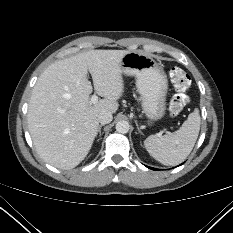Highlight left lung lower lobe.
I'll return each mask as SVG.
<instances>
[{
	"mask_svg": "<svg viewBox=\"0 0 233 233\" xmlns=\"http://www.w3.org/2000/svg\"><path fill=\"white\" fill-rule=\"evenodd\" d=\"M148 168L155 170V169H154V168H152V167H148Z\"/></svg>",
	"mask_w": 233,
	"mask_h": 233,
	"instance_id": "0a47b994",
	"label": "left lung lower lobe"
}]
</instances>
